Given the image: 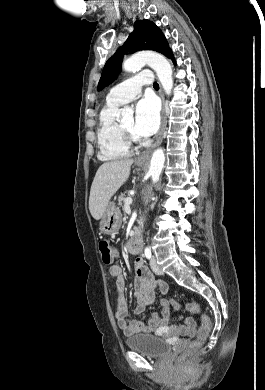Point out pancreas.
Instances as JSON below:
<instances>
[{
  "label": "pancreas",
  "mask_w": 265,
  "mask_h": 390,
  "mask_svg": "<svg viewBox=\"0 0 265 390\" xmlns=\"http://www.w3.org/2000/svg\"><path fill=\"white\" fill-rule=\"evenodd\" d=\"M125 199V194H121L118 200L120 206H123Z\"/></svg>",
  "instance_id": "cf45deb5"
}]
</instances>
